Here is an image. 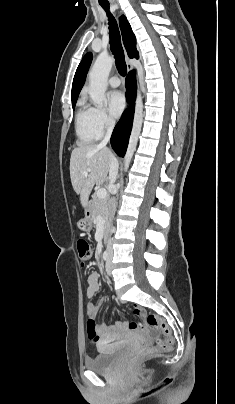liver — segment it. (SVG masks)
<instances>
[{
  "label": "liver",
  "mask_w": 235,
  "mask_h": 404,
  "mask_svg": "<svg viewBox=\"0 0 235 404\" xmlns=\"http://www.w3.org/2000/svg\"><path fill=\"white\" fill-rule=\"evenodd\" d=\"M111 156L105 145L92 144L75 148L70 158V178L74 191L80 195L81 205L88 206L94 185H102L109 173ZM90 171L85 174V171Z\"/></svg>",
  "instance_id": "1"
}]
</instances>
